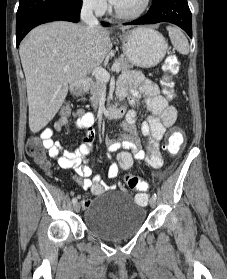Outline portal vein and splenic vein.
<instances>
[{"label": "portal vein and splenic vein", "instance_id": "18ae733b", "mask_svg": "<svg viewBox=\"0 0 227 279\" xmlns=\"http://www.w3.org/2000/svg\"><path fill=\"white\" fill-rule=\"evenodd\" d=\"M68 70H69V65H66L64 67V71H68ZM112 71L119 72V64H113ZM92 74L95 76L96 79L104 80L106 82L109 81L110 79V74L102 67H94Z\"/></svg>", "mask_w": 227, "mask_h": 279}]
</instances>
